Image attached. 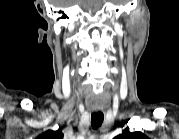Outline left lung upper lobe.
<instances>
[{"instance_id":"left-lung-upper-lobe-1","label":"left lung upper lobe","mask_w":179,"mask_h":139,"mask_svg":"<svg viewBox=\"0 0 179 139\" xmlns=\"http://www.w3.org/2000/svg\"><path fill=\"white\" fill-rule=\"evenodd\" d=\"M142 136H144L142 133H130L129 131H126L122 135L117 136V139H139V137Z\"/></svg>"}]
</instances>
